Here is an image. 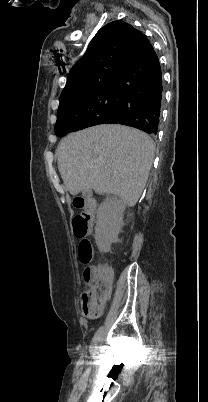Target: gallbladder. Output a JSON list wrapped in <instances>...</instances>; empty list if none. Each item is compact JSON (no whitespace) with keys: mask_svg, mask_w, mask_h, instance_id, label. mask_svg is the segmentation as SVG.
I'll return each instance as SVG.
<instances>
[{"mask_svg":"<svg viewBox=\"0 0 208 402\" xmlns=\"http://www.w3.org/2000/svg\"><path fill=\"white\" fill-rule=\"evenodd\" d=\"M83 197H84L85 199H90V198L92 197V192H91L90 190H85V191L83 192Z\"/></svg>","mask_w":208,"mask_h":402,"instance_id":"gallbladder-1","label":"gallbladder"}]
</instances>
